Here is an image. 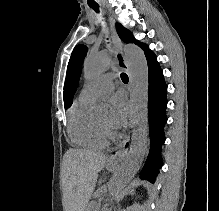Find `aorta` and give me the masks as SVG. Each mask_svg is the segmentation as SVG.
Wrapping results in <instances>:
<instances>
[{"mask_svg":"<svg viewBox=\"0 0 219 211\" xmlns=\"http://www.w3.org/2000/svg\"><path fill=\"white\" fill-rule=\"evenodd\" d=\"M124 54L130 65V117L133 123L131 145L120 170L111 181L109 193H119L140 169L145 157L148 142V65L143 51L132 44L124 47ZM111 54L104 50L86 58L83 76L91 80L99 76L109 66ZM97 115H104L107 106L98 103L94 106Z\"/></svg>","mask_w":219,"mask_h":211,"instance_id":"762f6f07","label":"aorta"}]
</instances>
